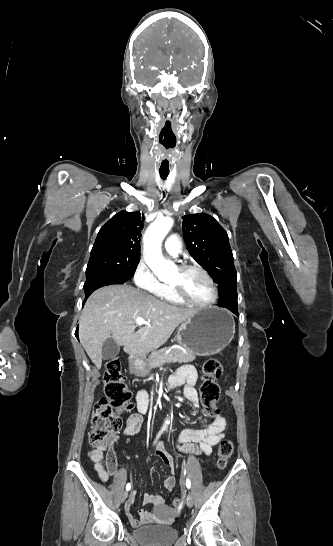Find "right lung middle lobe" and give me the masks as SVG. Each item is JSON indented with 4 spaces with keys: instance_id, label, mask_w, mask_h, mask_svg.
I'll return each instance as SVG.
<instances>
[{
    "instance_id": "right-lung-middle-lobe-1",
    "label": "right lung middle lobe",
    "mask_w": 333,
    "mask_h": 546,
    "mask_svg": "<svg viewBox=\"0 0 333 546\" xmlns=\"http://www.w3.org/2000/svg\"><path fill=\"white\" fill-rule=\"evenodd\" d=\"M140 256L119 250L91 252L86 276L91 273H106L130 280L137 268Z\"/></svg>"
}]
</instances>
